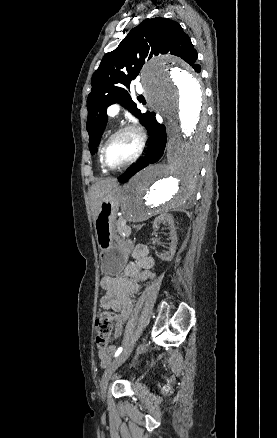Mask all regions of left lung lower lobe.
<instances>
[{"instance_id": "0a47b994", "label": "left lung lower lobe", "mask_w": 277, "mask_h": 438, "mask_svg": "<svg viewBox=\"0 0 277 438\" xmlns=\"http://www.w3.org/2000/svg\"><path fill=\"white\" fill-rule=\"evenodd\" d=\"M149 132L151 136L148 140V148L145 156L139 161L133 164L127 171L118 177V180L122 183L127 182L138 171L147 167L149 164L157 162L163 155L166 145V129L164 125L159 124L155 120V115L151 117V124L149 126Z\"/></svg>"}]
</instances>
